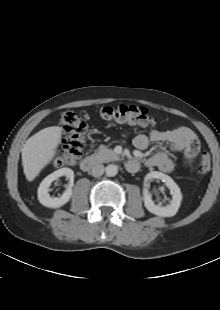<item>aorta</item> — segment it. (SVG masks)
<instances>
[{
	"instance_id": "1",
	"label": "aorta",
	"mask_w": 220,
	"mask_h": 310,
	"mask_svg": "<svg viewBox=\"0 0 220 310\" xmlns=\"http://www.w3.org/2000/svg\"><path fill=\"white\" fill-rule=\"evenodd\" d=\"M105 171H106V175L109 176V177H113V176H116L117 173H118V167L114 164H109L106 168H105Z\"/></svg>"
}]
</instances>
